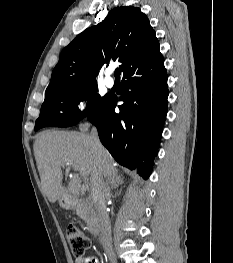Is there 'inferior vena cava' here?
Here are the masks:
<instances>
[{
    "label": "inferior vena cava",
    "instance_id": "inferior-vena-cava-1",
    "mask_svg": "<svg viewBox=\"0 0 233 263\" xmlns=\"http://www.w3.org/2000/svg\"><path fill=\"white\" fill-rule=\"evenodd\" d=\"M90 136L93 141L95 151L99 153L102 145L95 127L92 128ZM91 194L94 201V207L96 209L97 219L100 225V239L102 246L110 262L116 263L112 247L111 224L108 212L106 210V194L101 184V180L92 182Z\"/></svg>",
    "mask_w": 233,
    "mask_h": 263
}]
</instances>
